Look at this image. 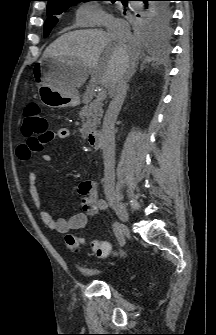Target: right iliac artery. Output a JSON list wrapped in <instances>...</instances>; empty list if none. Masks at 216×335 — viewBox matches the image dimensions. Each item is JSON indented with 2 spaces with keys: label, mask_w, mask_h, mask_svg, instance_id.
<instances>
[{
  "label": "right iliac artery",
  "mask_w": 216,
  "mask_h": 335,
  "mask_svg": "<svg viewBox=\"0 0 216 335\" xmlns=\"http://www.w3.org/2000/svg\"><path fill=\"white\" fill-rule=\"evenodd\" d=\"M99 207H100L101 210H106L108 208V204L105 200L100 199L99 200ZM113 232H114L120 246H124L125 239H124V235H123V232H122V226L118 222L113 223Z\"/></svg>",
  "instance_id": "right-iliac-artery-1"
}]
</instances>
